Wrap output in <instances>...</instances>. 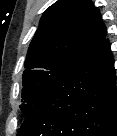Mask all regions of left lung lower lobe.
<instances>
[{
    "label": "left lung lower lobe",
    "mask_w": 117,
    "mask_h": 136,
    "mask_svg": "<svg viewBox=\"0 0 117 136\" xmlns=\"http://www.w3.org/2000/svg\"><path fill=\"white\" fill-rule=\"evenodd\" d=\"M17 136H117L116 75L107 39L48 89Z\"/></svg>",
    "instance_id": "left-lung-lower-lobe-1"
}]
</instances>
